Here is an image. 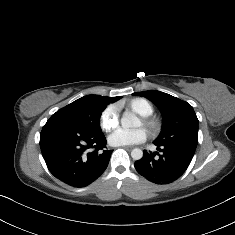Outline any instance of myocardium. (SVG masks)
Here are the masks:
<instances>
[{"label":"myocardium","instance_id":"myocardium-1","mask_svg":"<svg viewBox=\"0 0 235 235\" xmlns=\"http://www.w3.org/2000/svg\"><path fill=\"white\" fill-rule=\"evenodd\" d=\"M141 123L152 133L161 128V121L157 117H141Z\"/></svg>","mask_w":235,"mask_h":235}]
</instances>
